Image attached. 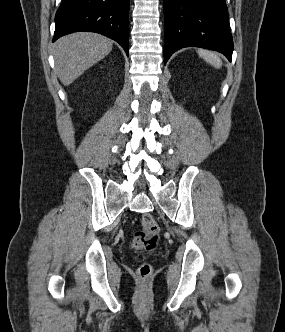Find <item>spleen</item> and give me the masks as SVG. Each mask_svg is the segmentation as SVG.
I'll use <instances>...</instances> for the list:
<instances>
[{
	"label": "spleen",
	"mask_w": 285,
	"mask_h": 332,
	"mask_svg": "<svg viewBox=\"0 0 285 332\" xmlns=\"http://www.w3.org/2000/svg\"><path fill=\"white\" fill-rule=\"evenodd\" d=\"M197 52L200 57L215 68L219 69L222 66V61L217 53L205 49H198Z\"/></svg>",
	"instance_id": "1"
}]
</instances>
